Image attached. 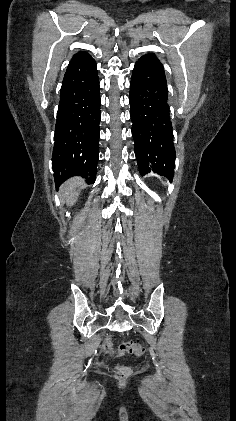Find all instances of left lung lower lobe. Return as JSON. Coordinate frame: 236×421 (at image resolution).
<instances>
[{
  "instance_id": "left-lung-lower-lobe-1",
  "label": "left lung lower lobe",
  "mask_w": 236,
  "mask_h": 421,
  "mask_svg": "<svg viewBox=\"0 0 236 421\" xmlns=\"http://www.w3.org/2000/svg\"><path fill=\"white\" fill-rule=\"evenodd\" d=\"M162 63L152 53L135 64L130 84V114L141 175L156 172L173 179L175 148Z\"/></svg>"
}]
</instances>
